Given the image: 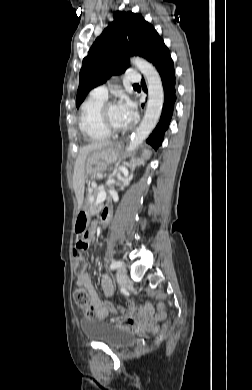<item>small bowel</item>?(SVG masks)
Returning a JSON list of instances; mask_svg holds the SVG:
<instances>
[{
  "label": "small bowel",
  "instance_id": "c3829d8e",
  "mask_svg": "<svg viewBox=\"0 0 252 390\" xmlns=\"http://www.w3.org/2000/svg\"><path fill=\"white\" fill-rule=\"evenodd\" d=\"M111 217V210L106 207L101 213L102 223L109 222ZM94 233V226L87 231L88 243ZM101 288L106 297H111L114 293L113 284L111 278L107 274L101 276ZM78 286L86 288L89 294L90 305L96 312V318L106 319L110 312H114L115 308L111 305H105L94 287L91 277L87 273H82L77 277L76 281ZM159 313L156 315L151 305L138 306L133 300L128 302V307H119L124 322L120 323L123 327L131 329L139 334H146L157 329L156 322L160 321L165 316L163 305L158 306Z\"/></svg>",
  "mask_w": 252,
  "mask_h": 390
}]
</instances>
